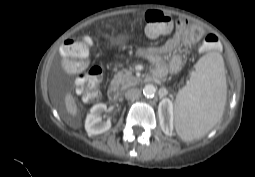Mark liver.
Segmentation results:
<instances>
[{"instance_id": "liver-1", "label": "liver", "mask_w": 255, "mask_h": 177, "mask_svg": "<svg viewBox=\"0 0 255 177\" xmlns=\"http://www.w3.org/2000/svg\"><path fill=\"white\" fill-rule=\"evenodd\" d=\"M65 107L71 116L75 117L77 115V106L71 94L65 96Z\"/></svg>"}]
</instances>
